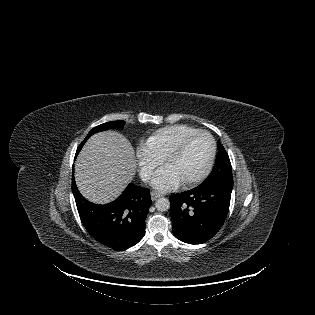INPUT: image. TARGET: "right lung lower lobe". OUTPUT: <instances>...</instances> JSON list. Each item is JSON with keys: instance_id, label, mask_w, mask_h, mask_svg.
<instances>
[{"instance_id": "1", "label": "right lung lower lobe", "mask_w": 315, "mask_h": 315, "mask_svg": "<svg viewBox=\"0 0 315 315\" xmlns=\"http://www.w3.org/2000/svg\"><path fill=\"white\" fill-rule=\"evenodd\" d=\"M149 191L129 184L113 202L97 205L80 194L72 176V192L83 225L94 239L114 250L130 248L143 238L151 206Z\"/></svg>"}]
</instances>
